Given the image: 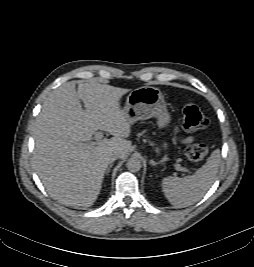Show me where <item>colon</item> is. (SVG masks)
Here are the masks:
<instances>
[{
	"instance_id": "colon-1",
	"label": "colon",
	"mask_w": 254,
	"mask_h": 267,
	"mask_svg": "<svg viewBox=\"0 0 254 267\" xmlns=\"http://www.w3.org/2000/svg\"><path fill=\"white\" fill-rule=\"evenodd\" d=\"M208 125V117L196 105L190 104L183 109L182 127L186 132L205 129ZM207 155V146L202 142H193L186 148V157L194 164L203 162Z\"/></svg>"
}]
</instances>
